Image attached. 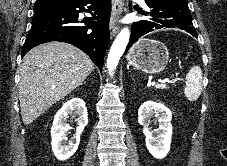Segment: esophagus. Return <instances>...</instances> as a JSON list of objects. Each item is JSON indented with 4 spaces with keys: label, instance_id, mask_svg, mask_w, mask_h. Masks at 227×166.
I'll list each match as a JSON object with an SVG mask.
<instances>
[{
    "label": "esophagus",
    "instance_id": "obj_1",
    "mask_svg": "<svg viewBox=\"0 0 227 166\" xmlns=\"http://www.w3.org/2000/svg\"><path fill=\"white\" fill-rule=\"evenodd\" d=\"M123 2V0H112V14L110 19L111 36H115L120 29L118 19L120 18L123 11Z\"/></svg>",
    "mask_w": 227,
    "mask_h": 166
}]
</instances>
